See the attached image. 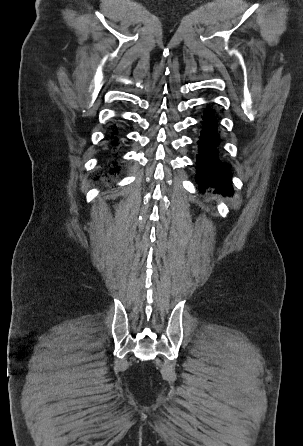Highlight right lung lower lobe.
<instances>
[{"instance_id":"right-lung-lower-lobe-1","label":"right lung lower lobe","mask_w":303,"mask_h":446,"mask_svg":"<svg viewBox=\"0 0 303 446\" xmlns=\"http://www.w3.org/2000/svg\"><path fill=\"white\" fill-rule=\"evenodd\" d=\"M121 138H122V131H121V129L113 128V130L111 132V135L109 137V141H110L112 147L113 146H117L119 144ZM118 170H119V167H115L114 168V171H118Z\"/></svg>"}]
</instances>
